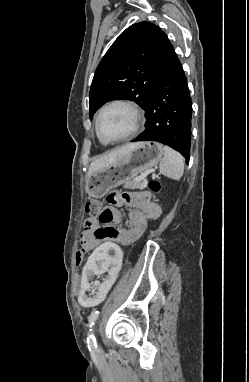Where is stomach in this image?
<instances>
[{
    "label": "stomach",
    "instance_id": "stomach-1",
    "mask_svg": "<svg viewBox=\"0 0 249 382\" xmlns=\"http://www.w3.org/2000/svg\"><path fill=\"white\" fill-rule=\"evenodd\" d=\"M163 147L158 142H140L115 164L94 172L86 182L90 197L101 198L112 188L118 187L130 177L158 165Z\"/></svg>",
    "mask_w": 249,
    "mask_h": 382
}]
</instances>
